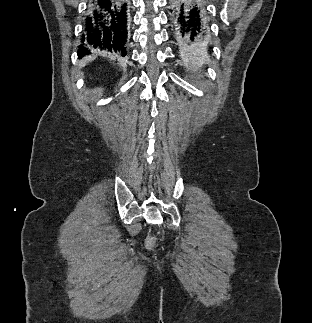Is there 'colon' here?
I'll use <instances>...</instances> for the list:
<instances>
[{"label":"colon","instance_id":"obj_1","mask_svg":"<svg viewBox=\"0 0 312 323\" xmlns=\"http://www.w3.org/2000/svg\"><path fill=\"white\" fill-rule=\"evenodd\" d=\"M156 245V239L155 238H149L146 241V247L149 249H153Z\"/></svg>","mask_w":312,"mask_h":323}]
</instances>
